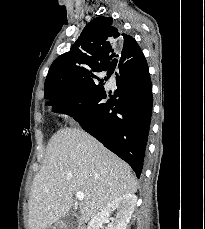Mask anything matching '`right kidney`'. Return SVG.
<instances>
[{
    "label": "right kidney",
    "instance_id": "ca27d5eb",
    "mask_svg": "<svg viewBox=\"0 0 205 229\" xmlns=\"http://www.w3.org/2000/svg\"><path fill=\"white\" fill-rule=\"evenodd\" d=\"M137 197L134 194L123 195L110 202L88 224V229H100L103 223H108L107 229H126L136 206ZM117 210L115 217L112 213Z\"/></svg>",
    "mask_w": 205,
    "mask_h": 229
}]
</instances>
